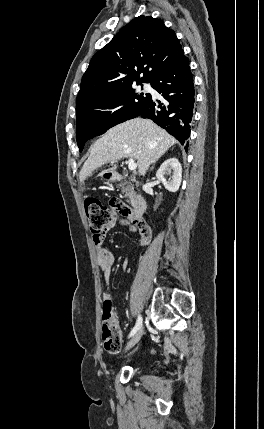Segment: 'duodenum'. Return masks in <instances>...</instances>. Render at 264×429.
<instances>
[{"label":"duodenum","instance_id":"410a0bca","mask_svg":"<svg viewBox=\"0 0 264 429\" xmlns=\"http://www.w3.org/2000/svg\"><path fill=\"white\" fill-rule=\"evenodd\" d=\"M112 179L114 181H122V180H126L127 178L121 175L120 173H114L112 175ZM132 206H133V211L131 214L132 220L135 222L141 221L143 218V214L147 208V202L145 198L142 195L137 194L133 199Z\"/></svg>","mask_w":264,"mask_h":429}]
</instances>
